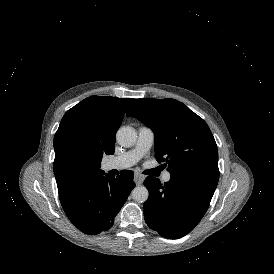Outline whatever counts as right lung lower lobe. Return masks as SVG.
Returning a JSON list of instances; mask_svg holds the SVG:
<instances>
[{
  "instance_id": "98d812e1",
  "label": "right lung lower lobe",
  "mask_w": 274,
  "mask_h": 274,
  "mask_svg": "<svg viewBox=\"0 0 274 274\" xmlns=\"http://www.w3.org/2000/svg\"><path fill=\"white\" fill-rule=\"evenodd\" d=\"M99 174L71 195L60 200L70 221L86 234L110 229L114 218L135 187L133 172L111 176Z\"/></svg>"
}]
</instances>
